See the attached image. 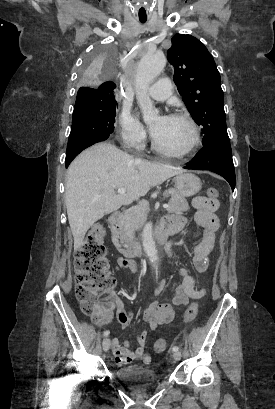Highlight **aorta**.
Returning a JSON list of instances; mask_svg holds the SVG:
<instances>
[{
	"mask_svg": "<svg viewBox=\"0 0 275 409\" xmlns=\"http://www.w3.org/2000/svg\"><path fill=\"white\" fill-rule=\"evenodd\" d=\"M166 64V56L164 51H143V58L138 64V72L136 76V98L143 112L145 122L156 120L159 110L155 108L152 98L147 94L149 82L160 74ZM143 249L150 261L152 267H156L158 255L156 245L152 237V223L145 225L142 235Z\"/></svg>",
	"mask_w": 275,
	"mask_h": 409,
	"instance_id": "obj_1",
	"label": "aorta"
}]
</instances>
